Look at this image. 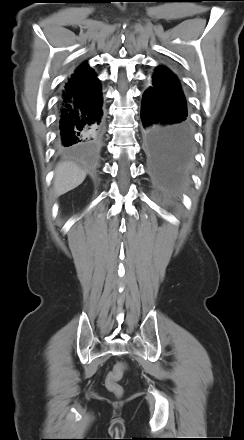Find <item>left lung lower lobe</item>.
I'll use <instances>...</instances> for the list:
<instances>
[{"mask_svg":"<svg viewBox=\"0 0 244 440\" xmlns=\"http://www.w3.org/2000/svg\"><path fill=\"white\" fill-rule=\"evenodd\" d=\"M148 159L160 174L186 177L194 157L193 126L187 108L150 86L141 106Z\"/></svg>","mask_w":244,"mask_h":440,"instance_id":"1","label":"left lung lower lobe"}]
</instances>
